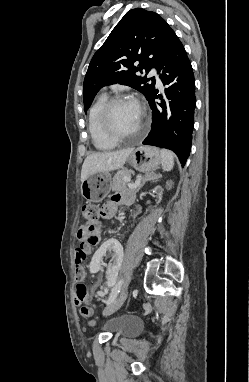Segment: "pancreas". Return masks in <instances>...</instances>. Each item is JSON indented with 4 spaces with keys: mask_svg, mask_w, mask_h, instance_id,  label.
I'll return each instance as SVG.
<instances>
[{
    "mask_svg": "<svg viewBox=\"0 0 249 382\" xmlns=\"http://www.w3.org/2000/svg\"><path fill=\"white\" fill-rule=\"evenodd\" d=\"M131 175H132V171L128 169H122L118 171L112 179V183H111L112 190L116 191V190L127 189V182L124 181V177L130 178Z\"/></svg>",
    "mask_w": 249,
    "mask_h": 382,
    "instance_id": "cf45deb5",
    "label": "pancreas"
}]
</instances>
